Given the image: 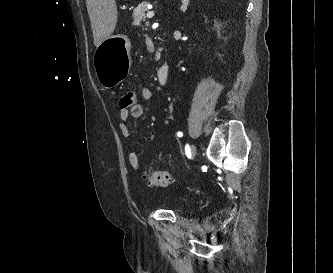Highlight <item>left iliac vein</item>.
<instances>
[{
  "instance_id": "1",
  "label": "left iliac vein",
  "mask_w": 333,
  "mask_h": 273,
  "mask_svg": "<svg viewBox=\"0 0 333 273\" xmlns=\"http://www.w3.org/2000/svg\"><path fill=\"white\" fill-rule=\"evenodd\" d=\"M190 153H191V157L194 158L196 156L197 150L195 145H192L190 148Z\"/></svg>"
}]
</instances>
